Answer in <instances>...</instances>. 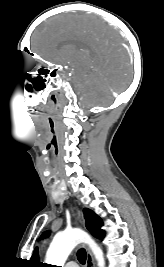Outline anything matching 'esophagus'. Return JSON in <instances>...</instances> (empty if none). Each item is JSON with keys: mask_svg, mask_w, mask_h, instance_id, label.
Returning a JSON list of instances; mask_svg holds the SVG:
<instances>
[{"mask_svg": "<svg viewBox=\"0 0 164 267\" xmlns=\"http://www.w3.org/2000/svg\"><path fill=\"white\" fill-rule=\"evenodd\" d=\"M76 211L79 221L83 224L81 212L78 209ZM86 252H87L86 267H94L95 263L91 251L88 248H86Z\"/></svg>", "mask_w": 164, "mask_h": 267, "instance_id": "1", "label": "esophagus"}]
</instances>
